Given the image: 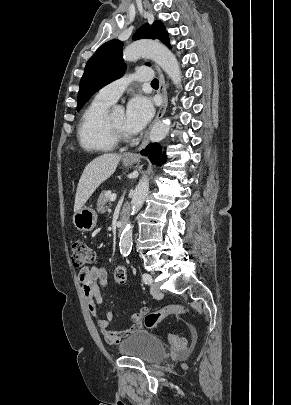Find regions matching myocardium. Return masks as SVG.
Returning <instances> with one entry per match:
<instances>
[{
	"instance_id": "myocardium-1",
	"label": "myocardium",
	"mask_w": 291,
	"mask_h": 405,
	"mask_svg": "<svg viewBox=\"0 0 291 405\" xmlns=\"http://www.w3.org/2000/svg\"><path fill=\"white\" fill-rule=\"evenodd\" d=\"M107 128L111 138L116 144H126L132 141V137L129 134L125 133L124 131L116 128L112 124L109 117L107 118Z\"/></svg>"
}]
</instances>
